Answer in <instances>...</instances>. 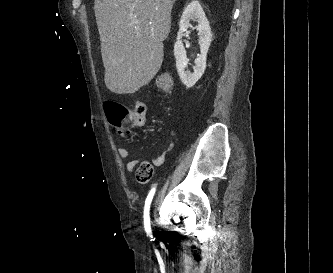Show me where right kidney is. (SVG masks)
<instances>
[{
    "mask_svg": "<svg viewBox=\"0 0 333 273\" xmlns=\"http://www.w3.org/2000/svg\"><path fill=\"white\" fill-rule=\"evenodd\" d=\"M190 21L198 22L194 28ZM188 28H193L198 31L200 36V56L195 59L193 73L188 71V59L184 45L182 43L183 32ZM212 41V33L209 21L198 1L190 2L184 9L180 22L177 40L174 45V56L176 58V68L182 83L188 87H193L203 75L206 68V56Z\"/></svg>",
    "mask_w": 333,
    "mask_h": 273,
    "instance_id": "1",
    "label": "right kidney"
}]
</instances>
